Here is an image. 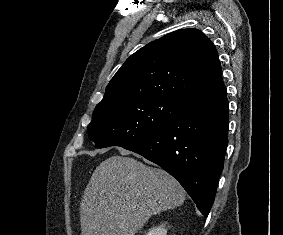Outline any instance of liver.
I'll use <instances>...</instances> for the list:
<instances>
[{"label": "liver", "instance_id": "obj_1", "mask_svg": "<svg viewBox=\"0 0 283 235\" xmlns=\"http://www.w3.org/2000/svg\"><path fill=\"white\" fill-rule=\"evenodd\" d=\"M120 153L100 163L84 191L82 235H135L152 215L185 200L184 189L167 172Z\"/></svg>", "mask_w": 283, "mask_h": 235}]
</instances>
